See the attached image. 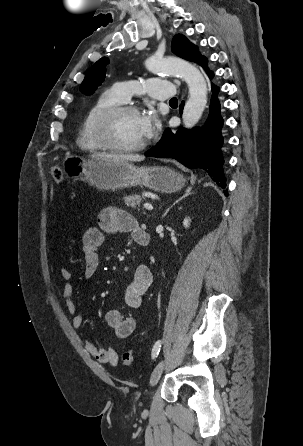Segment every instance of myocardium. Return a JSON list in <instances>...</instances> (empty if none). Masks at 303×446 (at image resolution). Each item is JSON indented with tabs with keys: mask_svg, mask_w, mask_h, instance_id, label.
<instances>
[{
	"mask_svg": "<svg viewBox=\"0 0 303 446\" xmlns=\"http://www.w3.org/2000/svg\"><path fill=\"white\" fill-rule=\"evenodd\" d=\"M125 113L139 114V110L134 105L121 103L105 108L96 117L93 133L96 140L104 149L117 153H132L140 151L146 147L147 145L146 140L130 146H121L112 141L111 139L112 124L118 116Z\"/></svg>",
	"mask_w": 303,
	"mask_h": 446,
	"instance_id": "myocardium-1",
	"label": "myocardium"
}]
</instances>
